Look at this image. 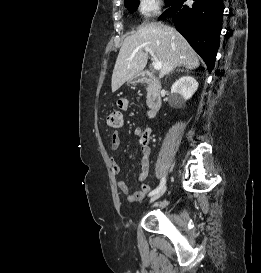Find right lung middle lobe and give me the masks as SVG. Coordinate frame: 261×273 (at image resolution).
<instances>
[{
	"mask_svg": "<svg viewBox=\"0 0 261 273\" xmlns=\"http://www.w3.org/2000/svg\"><path fill=\"white\" fill-rule=\"evenodd\" d=\"M174 0H165L166 5H169L173 2ZM125 7L129 10L130 13H133L139 4V0H124Z\"/></svg>",
	"mask_w": 261,
	"mask_h": 273,
	"instance_id": "dd1d6c3e",
	"label": "right lung middle lobe"
}]
</instances>
